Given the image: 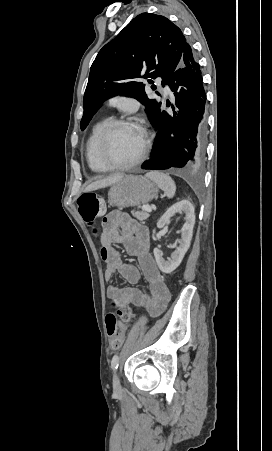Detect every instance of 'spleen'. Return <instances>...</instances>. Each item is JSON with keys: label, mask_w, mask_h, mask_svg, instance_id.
<instances>
[{"label": "spleen", "mask_w": 272, "mask_h": 451, "mask_svg": "<svg viewBox=\"0 0 272 451\" xmlns=\"http://www.w3.org/2000/svg\"><path fill=\"white\" fill-rule=\"evenodd\" d=\"M145 176L146 178H149V180H153L158 188L163 190L167 198H173V196H175L176 184L174 180L170 178L169 174H162V172H148Z\"/></svg>", "instance_id": "obj_1"}]
</instances>
